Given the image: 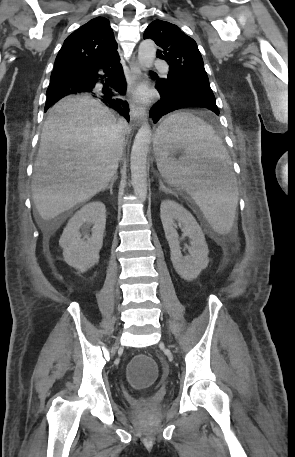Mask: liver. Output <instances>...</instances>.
<instances>
[{
    "label": "liver",
    "instance_id": "obj_1",
    "mask_svg": "<svg viewBox=\"0 0 295 457\" xmlns=\"http://www.w3.org/2000/svg\"><path fill=\"white\" fill-rule=\"evenodd\" d=\"M123 123L97 99L69 96L43 125L31 191L44 221H51L105 189L123 150Z\"/></svg>",
    "mask_w": 295,
    "mask_h": 457
}]
</instances>
